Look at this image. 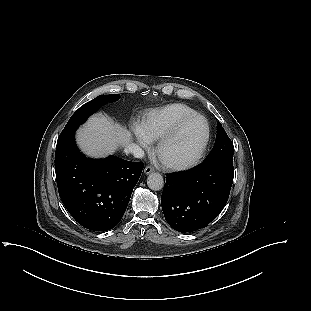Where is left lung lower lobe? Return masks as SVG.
<instances>
[{"mask_svg": "<svg viewBox=\"0 0 311 311\" xmlns=\"http://www.w3.org/2000/svg\"><path fill=\"white\" fill-rule=\"evenodd\" d=\"M233 177V164L223 162H203L188 173L167 176L161 204L168 224L182 233L206 227L225 206Z\"/></svg>", "mask_w": 311, "mask_h": 311, "instance_id": "obj_1", "label": "left lung lower lobe"}]
</instances>
